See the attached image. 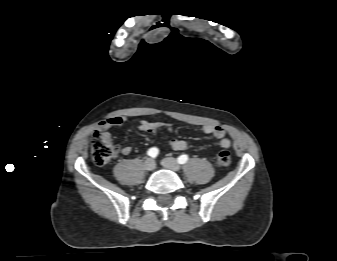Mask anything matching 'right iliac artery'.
<instances>
[{
  "mask_svg": "<svg viewBox=\"0 0 337 261\" xmlns=\"http://www.w3.org/2000/svg\"><path fill=\"white\" fill-rule=\"evenodd\" d=\"M159 153V150L156 147H152L148 150L147 154L153 158H155Z\"/></svg>",
  "mask_w": 337,
  "mask_h": 261,
  "instance_id": "obj_1",
  "label": "right iliac artery"
}]
</instances>
